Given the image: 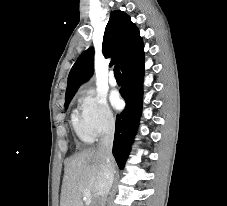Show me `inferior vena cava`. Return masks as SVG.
I'll use <instances>...</instances> for the list:
<instances>
[{
	"instance_id": "inferior-vena-cava-1",
	"label": "inferior vena cava",
	"mask_w": 227,
	"mask_h": 206,
	"mask_svg": "<svg viewBox=\"0 0 227 206\" xmlns=\"http://www.w3.org/2000/svg\"><path fill=\"white\" fill-rule=\"evenodd\" d=\"M115 121L109 119L103 136L98 145L102 157V164L96 182V206H105L106 197L111 189L114 178V158L112 146L114 140Z\"/></svg>"
}]
</instances>
